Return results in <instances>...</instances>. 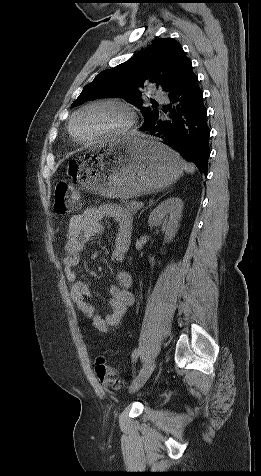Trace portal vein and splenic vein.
Masks as SVG:
<instances>
[{"instance_id":"18ae733b","label":"portal vein and splenic vein","mask_w":261,"mask_h":476,"mask_svg":"<svg viewBox=\"0 0 261 476\" xmlns=\"http://www.w3.org/2000/svg\"><path fill=\"white\" fill-rule=\"evenodd\" d=\"M139 205H140V206H143V205H144V202H142V201L139 202Z\"/></svg>"}]
</instances>
